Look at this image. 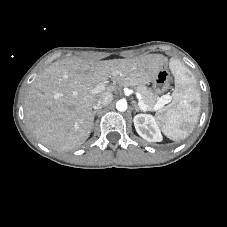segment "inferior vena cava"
<instances>
[{
  "instance_id": "1",
  "label": "inferior vena cava",
  "mask_w": 227,
  "mask_h": 227,
  "mask_svg": "<svg viewBox=\"0 0 227 227\" xmlns=\"http://www.w3.org/2000/svg\"><path fill=\"white\" fill-rule=\"evenodd\" d=\"M113 100V95L111 93L104 94L97 102L93 105L95 110L101 109L104 106L109 105Z\"/></svg>"
}]
</instances>
